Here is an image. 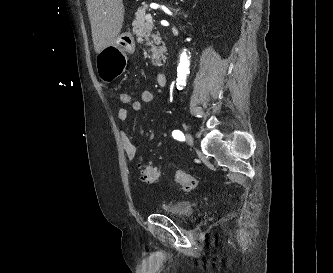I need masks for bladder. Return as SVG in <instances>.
I'll return each instance as SVG.
<instances>
[{"instance_id": "obj_1", "label": "bladder", "mask_w": 333, "mask_h": 273, "mask_svg": "<svg viewBox=\"0 0 333 273\" xmlns=\"http://www.w3.org/2000/svg\"><path fill=\"white\" fill-rule=\"evenodd\" d=\"M164 212L178 221L185 222L189 220L193 214V205L188 201H181L167 210H164Z\"/></svg>"}]
</instances>
